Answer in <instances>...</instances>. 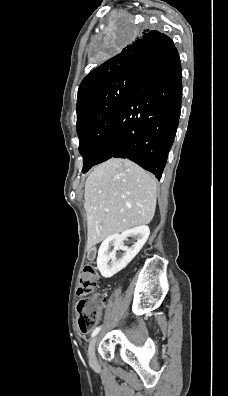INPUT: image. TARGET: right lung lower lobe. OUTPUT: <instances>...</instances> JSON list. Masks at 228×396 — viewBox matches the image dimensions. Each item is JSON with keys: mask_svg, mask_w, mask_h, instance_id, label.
<instances>
[{"mask_svg": "<svg viewBox=\"0 0 228 396\" xmlns=\"http://www.w3.org/2000/svg\"><path fill=\"white\" fill-rule=\"evenodd\" d=\"M181 98V64L170 39L142 61L96 164L128 158L160 179L176 134Z\"/></svg>", "mask_w": 228, "mask_h": 396, "instance_id": "right-lung-lower-lobe-1", "label": "right lung lower lobe"}]
</instances>
